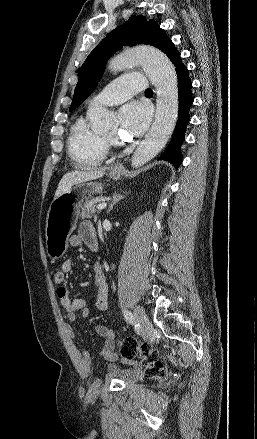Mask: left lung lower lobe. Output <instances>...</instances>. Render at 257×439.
<instances>
[{
  "label": "left lung lower lobe",
  "mask_w": 257,
  "mask_h": 439,
  "mask_svg": "<svg viewBox=\"0 0 257 439\" xmlns=\"http://www.w3.org/2000/svg\"><path fill=\"white\" fill-rule=\"evenodd\" d=\"M165 54L176 67L178 78L179 111L178 121L172 136V140L158 160L169 161L175 167H178L182 163L183 157L181 155V145L185 140L184 137L186 127L190 121L189 109L193 103V98L191 95L192 83L188 76L187 68L181 63L180 53L176 50L173 43L168 46Z\"/></svg>",
  "instance_id": "0a47b994"
}]
</instances>
